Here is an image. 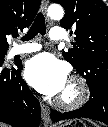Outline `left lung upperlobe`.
Wrapping results in <instances>:
<instances>
[{
	"label": "left lung upper lobe",
	"mask_w": 108,
	"mask_h": 127,
	"mask_svg": "<svg viewBox=\"0 0 108 127\" xmlns=\"http://www.w3.org/2000/svg\"><path fill=\"white\" fill-rule=\"evenodd\" d=\"M61 4L65 16L62 27L74 33L73 48L63 52L64 58L88 82V86H108V7L102 0H52Z\"/></svg>",
	"instance_id": "5c2ea615"
}]
</instances>
